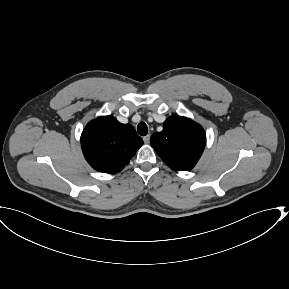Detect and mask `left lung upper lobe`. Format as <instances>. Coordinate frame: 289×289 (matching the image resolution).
I'll list each match as a JSON object with an SVG mask.
<instances>
[{"label":"left lung upper lobe","mask_w":289,"mask_h":289,"mask_svg":"<svg viewBox=\"0 0 289 289\" xmlns=\"http://www.w3.org/2000/svg\"><path fill=\"white\" fill-rule=\"evenodd\" d=\"M150 143L172 170L189 171L202 155L206 134L201 125L176 115L166 119L163 130L154 133Z\"/></svg>","instance_id":"1"}]
</instances>
